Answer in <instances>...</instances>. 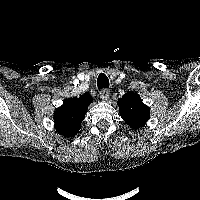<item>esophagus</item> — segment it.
Masks as SVG:
<instances>
[{"mask_svg": "<svg viewBox=\"0 0 200 200\" xmlns=\"http://www.w3.org/2000/svg\"><path fill=\"white\" fill-rule=\"evenodd\" d=\"M109 90L106 89V88H103L101 91H100V98L102 100H107L109 98Z\"/></svg>", "mask_w": 200, "mask_h": 200, "instance_id": "1", "label": "esophagus"}]
</instances>
